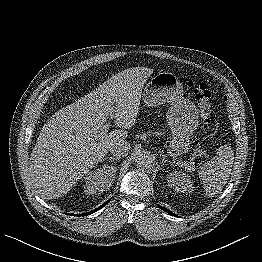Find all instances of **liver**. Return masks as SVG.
I'll return each instance as SVG.
<instances>
[{
    "label": "liver",
    "mask_w": 262,
    "mask_h": 262,
    "mask_svg": "<svg viewBox=\"0 0 262 262\" xmlns=\"http://www.w3.org/2000/svg\"><path fill=\"white\" fill-rule=\"evenodd\" d=\"M153 70L129 68L78 101L60 109L43 126L31 153L28 178L44 199L62 197L127 138L139 112L142 89ZM110 114L120 130L101 134Z\"/></svg>",
    "instance_id": "6515ba94"
}]
</instances>
